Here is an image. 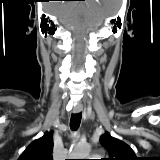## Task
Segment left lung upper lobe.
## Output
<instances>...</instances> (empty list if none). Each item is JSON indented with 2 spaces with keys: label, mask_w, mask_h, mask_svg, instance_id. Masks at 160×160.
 Wrapping results in <instances>:
<instances>
[{
  "label": "left lung upper lobe",
  "mask_w": 160,
  "mask_h": 160,
  "mask_svg": "<svg viewBox=\"0 0 160 160\" xmlns=\"http://www.w3.org/2000/svg\"><path fill=\"white\" fill-rule=\"evenodd\" d=\"M100 143L110 156L103 160H139L129 145L113 138L108 132L101 136Z\"/></svg>",
  "instance_id": "1"
}]
</instances>
